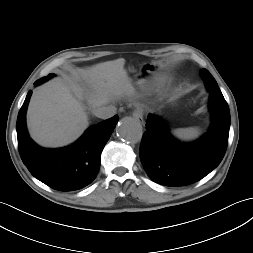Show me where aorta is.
<instances>
[{"instance_id": "aorta-1", "label": "aorta", "mask_w": 253, "mask_h": 253, "mask_svg": "<svg viewBox=\"0 0 253 253\" xmlns=\"http://www.w3.org/2000/svg\"><path fill=\"white\" fill-rule=\"evenodd\" d=\"M116 133L126 142L137 143L143 135L142 125L138 120L126 117L118 123Z\"/></svg>"}]
</instances>
